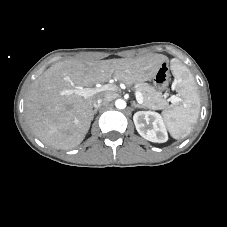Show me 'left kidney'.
<instances>
[{"label":"left kidney","mask_w":227,"mask_h":227,"mask_svg":"<svg viewBox=\"0 0 227 227\" xmlns=\"http://www.w3.org/2000/svg\"><path fill=\"white\" fill-rule=\"evenodd\" d=\"M133 121L137 132L144 139L164 143L168 140L166 126L162 116L154 111H138L133 116ZM149 124L152 127H149Z\"/></svg>","instance_id":"obj_1"}]
</instances>
